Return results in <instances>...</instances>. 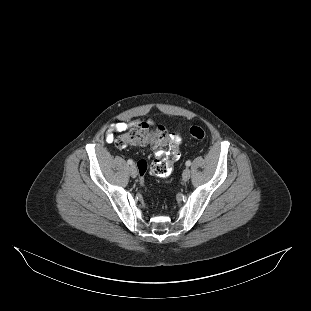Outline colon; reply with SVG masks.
Masks as SVG:
<instances>
[{"label": "colon", "mask_w": 311, "mask_h": 311, "mask_svg": "<svg viewBox=\"0 0 311 311\" xmlns=\"http://www.w3.org/2000/svg\"><path fill=\"white\" fill-rule=\"evenodd\" d=\"M190 135L197 141L205 138V132L199 126H192ZM116 146L121 149L131 146H150L156 150V159L152 164V172L162 178L171 174L172 162L178 157V152L174 146V138L162 125L150 127L146 123H137L116 139ZM137 168L140 182L143 185L148 163L145 160H139Z\"/></svg>", "instance_id": "1"}]
</instances>
